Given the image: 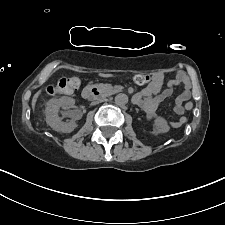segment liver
I'll use <instances>...</instances> for the list:
<instances>
[{
	"mask_svg": "<svg viewBox=\"0 0 225 225\" xmlns=\"http://www.w3.org/2000/svg\"><path fill=\"white\" fill-rule=\"evenodd\" d=\"M101 76H103V77H111V75H105V74H102ZM41 93H42V90H39L38 92H36V93L34 94V96H33V98H32V103H31V105H32V109H33V110L35 109V105H36L37 99H38V97L41 95Z\"/></svg>",
	"mask_w": 225,
	"mask_h": 225,
	"instance_id": "1",
	"label": "liver"
}]
</instances>
